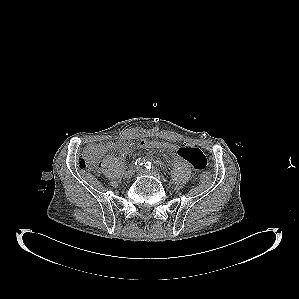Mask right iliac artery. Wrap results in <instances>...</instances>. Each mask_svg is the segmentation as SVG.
Segmentation results:
<instances>
[{
	"mask_svg": "<svg viewBox=\"0 0 299 299\" xmlns=\"http://www.w3.org/2000/svg\"><path fill=\"white\" fill-rule=\"evenodd\" d=\"M145 163V159L144 158H138L136 161H135V165L136 166H142L143 164Z\"/></svg>",
	"mask_w": 299,
	"mask_h": 299,
	"instance_id": "82829eb1",
	"label": "right iliac artery"
}]
</instances>
